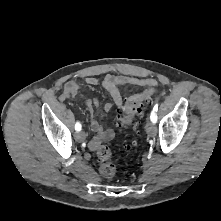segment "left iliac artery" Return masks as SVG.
<instances>
[{
    "label": "left iliac artery",
    "mask_w": 221,
    "mask_h": 221,
    "mask_svg": "<svg viewBox=\"0 0 221 221\" xmlns=\"http://www.w3.org/2000/svg\"><path fill=\"white\" fill-rule=\"evenodd\" d=\"M158 110V105L156 104L153 109H152V112L150 114V120L153 122V123H156L157 122V114H156V111Z\"/></svg>",
    "instance_id": "obj_1"
}]
</instances>
